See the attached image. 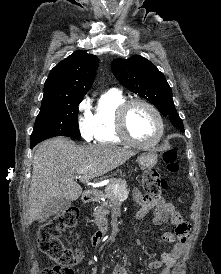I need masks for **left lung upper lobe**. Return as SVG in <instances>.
<instances>
[{"instance_id": "left-lung-upper-lobe-1", "label": "left lung upper lobe", "mask_w": 221, "mask_h": 274, "mask_svg": "<svg viewBox=\"0 0 221 274\" xmlns=\"http://www.w3.org/2000/svg\"><path fill=\"white\" fill-rule=\"evenodd\" d=\"M115 77L127 89L145 98L164 115H170L171 123L184 132L172 99V89L160 72L149 60L135 55L129 59H115L111 63Z\"/></svg>"}]
</instances>
